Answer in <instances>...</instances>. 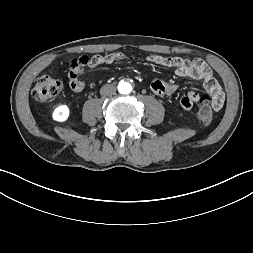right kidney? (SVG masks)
Wrapping results in <instances>:
<instances>
[{
	"label": "right kidney",
	"instance_id": "ca27d5eb",
	"mask_svg": "<svg viewBox=\"0 0 253 253\" xmlns=\"http://www.w3.org/2000/svg\"><path fill=\"white\" fill-rule=\"evenodd\" d=\"M69 112L67 105H60L54 110L53 119L59 122L66 121L69 117Z\"/></svg>",
	"mask_w": 253,
	"mask_h": 253
}]
</instances>
